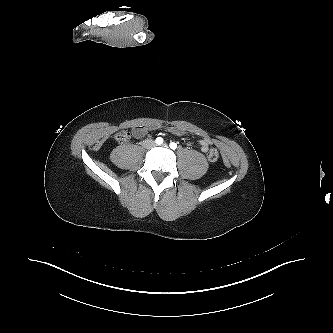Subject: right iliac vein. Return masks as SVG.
<instances>
[{
	"instance_id": "right-iliac-vein-1",
	"label": "right iliac vein",
	"mask_w": 333,
	"mask_h": 333,
	"mask_svg": "<svg viewBox=\"0 0 333 333\" xmlns=\"http://www.w3.org/2000/svg\"><path fill=\"white\" fill-rule=\"evenodd\" d=\"M154 145L152 140H145L143 146L147 149L151 148Z\"/></svg>"
}]
</instances>
